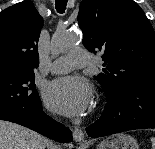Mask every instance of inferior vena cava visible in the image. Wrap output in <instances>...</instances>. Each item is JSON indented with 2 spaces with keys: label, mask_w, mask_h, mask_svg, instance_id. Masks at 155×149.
<instances>
[{
  "label": "inferior vena cava",
  "mask_w": 155,
  "mask_h": 149,
  "mask_svg": "<svg viewBox=\"0 0 155 149\" xmlns=\"http://www.w3.org/2000/svg\"><path fill=\"white\" fill-rule=\"evenodd\" d=\"M47 149H57L56 145L51 141H47Z\"/></svg>",
  "instance_id": "obj_1"
}]
</instances>
